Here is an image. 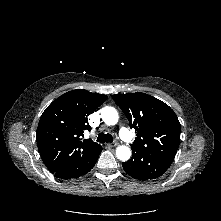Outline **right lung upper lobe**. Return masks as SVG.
I'll return each instance as SVG.
<instances>
[{
	"instance_id": "right-lung-upper-lobe-1",
	"label": "right lung upper lobe",
	"mask_w": 221,
	"mask_h": 221,
	"mask_svg": "<svg viewBox=\"0 0 221 221\" xmlns=\"http://www.w3.org/2000/svg\"><path fill=\"white\" fill-rule=\"evenodd\" d=\"M106 99L103 94L72 90L45 109L37 127L36 140L50 172L100 146L91 139L82 141L81 136L85 130H91L87 117Z\"/></svg>"
}]
</instances>
